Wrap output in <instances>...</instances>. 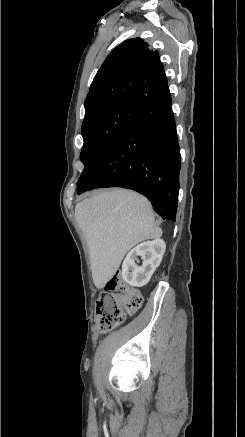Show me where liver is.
<instances>
[{"label":"liver","instance_id":"1","mask_svg":"<svg viewBox=\"0 0 245 437\" xmlns=\"http://www.w3.org/2000/svg\"><path fill=\"white\" fill-rule=\"evenodd\" d=\"M75 217L87 240L92 278L98 289L113 277L132 247L162 235L150 202L129 190L102 191L84 199L76 205Z\"/></svg>","mask_w":245,"mask_h":437}]
</instances>
